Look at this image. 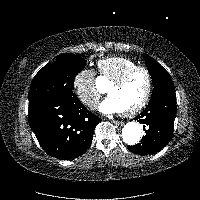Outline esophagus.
Listing matches in <instances>:
<instances>
[{
	"label": "esophagus",
	"instance_id": "obj_1",
	"mask_svg": "<svg viewBox=\"0 0 200 200\" xmlns=\"http://www.w3.org/2000/svg\"><path fill=\"white\" fill-rule=\"evenodd\" d=\"M113 123H114L115 125H117V126H122V125L124 124V122L118 121V120L113 121Z\"/></svg>",
	"mask_w": 200,
	"mask_h": 200
}]
</instances>
